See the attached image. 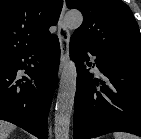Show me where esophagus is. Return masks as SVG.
<instances>
[{"mask_svg": "<svg viewBox=\"0 0 141 139\" xmlns=\"http://www.w3.org/2000/svg\"><path fill=\"white\" fill-rule=\"evenodd\" d=\"M65 12H66V3L64 1L62 11L58 20V31L57 36L60 43V66H59V76L61 75L63 69L67 65L69 58V42H70V33L65 24Z\"/></svg>", "mask_w": 141, "mask_h": 139, "instance_id": "1", "label": "esophagus"}]
</instances>
